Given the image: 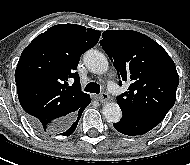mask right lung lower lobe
<instances>
[{
	"instance_id": "obj_1",
	"label": "right lung lower lobe",
	"mask_w": 190,
	"mask_h": 165,
	"mask_svg": "<svg viewBox=\"0 0 190 165\" xmlns=\"http://www.w3.org/2000/svg\"><path fill=\"white\" fill-rule=\"evenodd\" d=\"M91 99L88 100L79 110L78 112L76 113V116L74 118V120L62 131H57V132H54V133H50V135L52 134H57V135H63V136H69L71 135L76 127H77V124H78V121L82 115V112L84 111V109L89 105ZM29 121L31 122V124L36 127L38 129V122L34 119V118H29Z\"/></svg>"
}]
</instances>
